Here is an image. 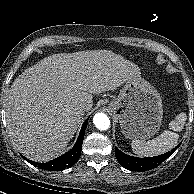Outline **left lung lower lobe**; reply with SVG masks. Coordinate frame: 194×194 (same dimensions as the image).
Segmentation results:
<instances>
[{"label": "left lung lower lobe", "instance_id": "1", "mask_svg": "<svg viewBox=\"0 0 194 194\" xmlns=\"http://www.w3.org/2000/svg\"><path fill=\"white\" fill-rule=\"evenodd\" d=\"M179 145L180 144H178L171 151L156 157L137 158V157L129 156L121 152L117 147H115V155L120 165H122L126 169L131 171H137V172L146 171V170L156 168L158 165H160L179 147Z\"/></svg>", "mask_w": 194, "mask_h": 194}]
</instances>
